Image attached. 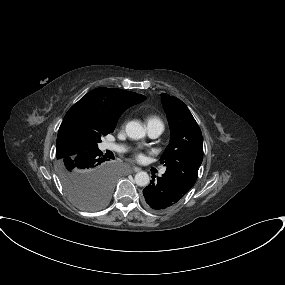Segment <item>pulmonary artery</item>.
I'll return each instance as SVG.
<instances>
[{
    "label": "pulmonary artery",
    "mask_w": 285,
    "mask_h": 285,
    "mask_svg": "<svg viewBox=\"0 0 285 285\" xmlns=\"http://www.w3.org/2000/svg\"><path fill=\"white\" fill-rule=\"evenodd\" d=\"M164 130V127L159 126V125H149L148 126V134L151 138H157L158 136H160L162 134ZM104 148L108 149V150H113V151H117V152H123L125 150V148L121 145L118 144H114V143H110V142H106L104 144ZM165 170L162 169L160 171V174H164Z\"/></svg>",
    "instance_id": "e3ab8cb5"
}]
</instances>
